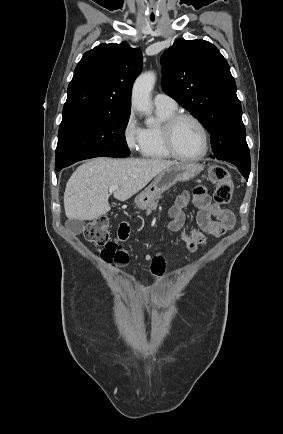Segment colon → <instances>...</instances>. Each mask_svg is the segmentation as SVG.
I'll use <instances>...</instances> for the list:
<instances>
[{"instance_id":"5ec220e1","label":"colon","mask_w":283,"mask_h":434,"mask_svg":"<svg viewBox=\"0 0 283 434\" xmlns=\"http://www.w3.org/2000/svg\"><path fill=\"white\" fill-rule=\"evenodd\" d=\"M210 181L215 185L214 202L219 206L230 203L233 195V183L229 171L221 165H214L209 169ZM109 219L100 216L90 222L85 230V237L103 251L109 242Z\"/></svg>"}]
</instances>
